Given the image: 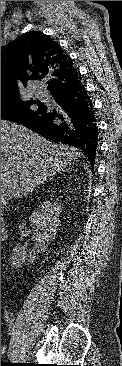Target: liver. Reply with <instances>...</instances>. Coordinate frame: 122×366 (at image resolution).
Returning a JSON list of instances; mask_svg holds the SVG:
<instances>
[{
	"label": "liver",
	"instance_id": "1",
	"mask_svg": "<svg viewBox=\"0 0 122 366\" xmlns=\"http://www.w3.org/2000/svg\"><path fill=\"white\" fill-rule=\"evenodd\" d=\"M74 154L71 148L51 144L25 128L1 124V179L24 193L59 169Z\"/></svg>",
	"mask_w": 122,
	"mask_h": 366
}]
</instances>
